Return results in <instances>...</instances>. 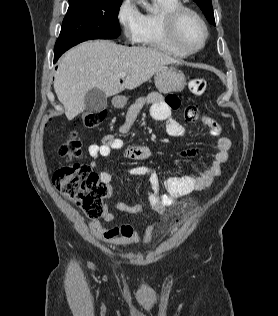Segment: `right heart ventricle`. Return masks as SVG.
Segmentation results:
<instances>
[{"label":"right heart ventricle","mask_w":278,"mask_h":316,"mask_svg":"<svg viewBox=\"0 0 278 316\" xmlns=\"http://www.w3.org/2000/svg\"><path fill=\"white\" fill-rule=\"evenodd\" d=\"M158 10L142 16V25L137 43L161 50L174 57H186L189 54L175 45L166 27V17L169 12L182 6L181 0H154Z\"/></svg>","instance_id":"right-heart-ventricle-1"}]
</instances>
